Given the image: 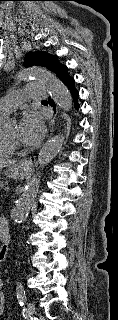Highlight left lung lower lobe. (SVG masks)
<instances>
[{
    "label": "left lung lower lobe",
    "instance_id": "1",
    "mask_svg": "<svg viewBox=\"0 0 118 320\" xmlns=\"http://www.w3.org/2000/svg\"><path fill=\"white\" fill-rule=\"evenodd\" d=\"M61 81L69 88L73 100L75 101V107L78 108L79 105L77 103L78 99V91L74 87V79L66 72L61 78ZM50 105L54 106V102L50 100Z\"/></svg>",
    "mask_w": 118,
    "mask_h": 320
}]
</instances>
